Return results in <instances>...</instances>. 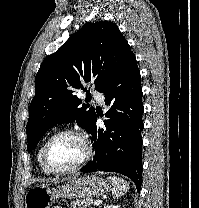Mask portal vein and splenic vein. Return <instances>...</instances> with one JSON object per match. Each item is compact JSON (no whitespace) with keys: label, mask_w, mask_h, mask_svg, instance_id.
<instances>
[{"label":"portal vein and splenic vein","mask_w":199,"mask_h":208,"mask_svg":"<svg viewBox=\"0 0 199 208\" xmlns=\"http://www.w3.org/2000/svg\"><path fill=\"white\" fill-rule=\"evenodd\" d=\"M100 201H96V202H94V205H96V206H98V205H100Z\"/></svg>","instance_id":"1"}]
</instances>
